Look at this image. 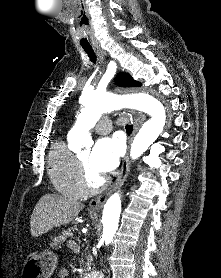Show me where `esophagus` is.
I'll list each match as a JSON object with an SVG mask.
<instances>
[{"label":"esophagus","mask_w":221,"mask_h":278,"mask_svg":"<svg viewBox=\"0 0 221 278\" xmlns=\"http://www.w3.org/2000/svg\"><path fill=\"white\" fill-rule=\"evenodd\" d=\"M96 53H97L101 63L105 64L104 51L96 50ZM130 114H132L134 117V130H133V134H132V137H133V136H135V134L138 132V130L142 126L146 117L144 114H142L140 112H136V111H131ZM129 169H130V160H129V153H127L126 156L124 157L120 174L118 175L113 188L110 189L109 191L103 192L102 194H100L99 196H97L96 198L91 200L90 208L92 210L99 211L100 209H102L105 201L110 196V194L125 181V179L128 175Z\"/></svg>","instance_id":"34e87169"}]
</instances>
